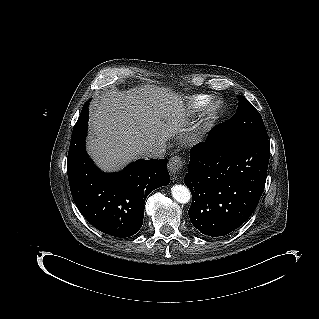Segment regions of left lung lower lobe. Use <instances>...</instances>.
<instances>
[{
    "mask_svg": "<svg viewBox=\"0 0 319 319\" xmlns=\"http://www.w3.org/2000/svg\"><path fill=\"white\" fill-rule=\"evenodd\" d=\"M221 124L190 151L184 183L192 193L188 214L200 233L219 237L241 226L255 210L265 187L268 139L218 140Z\"/></svg>",
    "mask_w": 319,
    "mask_h": 319,
    "instance_id": "left-lung-lower-lobe-1",
    "label": "left lung lower lobe"
}]
</instances>
